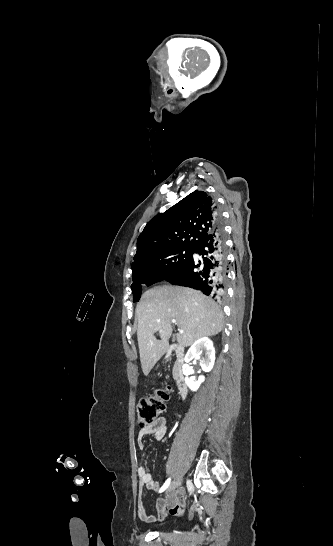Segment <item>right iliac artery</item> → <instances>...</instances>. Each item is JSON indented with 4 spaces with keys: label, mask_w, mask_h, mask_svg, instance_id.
<instances>
[{
    "label": "right iliac artery",
    "mask_w": 333,
    "mask_h": 546,
    "mask_svg": "<svg viewBox=\"0 0 333 546\" xmlns=\"http://www.w3.org/2000/svg\"><path fill=\"white\" fill-rule=\"evenodd\" d=\"M170 481H171L170 478L166 480V482H165V483L163 484V486L160 488L159 493L165 491V490L168 488V486H169V484H170Z\"/></svg>",
    "instance_id": "obj_1"
}]
</instances>
